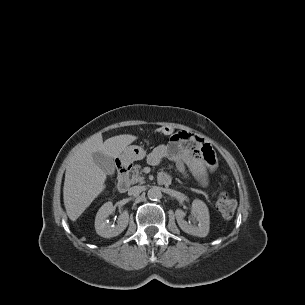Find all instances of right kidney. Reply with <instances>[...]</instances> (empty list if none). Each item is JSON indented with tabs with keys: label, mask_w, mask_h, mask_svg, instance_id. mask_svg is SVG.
I'll return each mask as SVG.
<instances>
[{
	"label": "right kidney",
	"mask_w": 305,
	"mask_h": 305,
	"mask_svg": "<svg viewBox=\"0 0 305 305\" xmlns=\"http://www.w3.org/2000/svg\"><path fill=\"white\" fill-rule=\"evenodd\" d=\"M114 211V207L112 202H106L97 212L95 218V229L98 235L104 238H111L122 233L129 221V214L127 211H124L119 215L118 221L116 225H112L108 216L111 215Z\"/></svg>",
	"instance_id": "1"
}]
</instances>
